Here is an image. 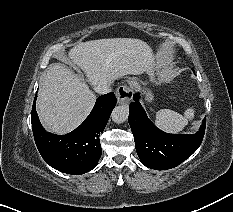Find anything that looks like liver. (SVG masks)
I'll list each match as a JSON object with an SVG mask.
<instances>
[{"mask_svg": "<svg viewBox=\"0 0 233 212\" xmlns=\"http://www.w3.org/2000/svg\"><path fill=\"white\" fill-rule=\"evenodd\" d=\"M68 60L79 66L92 85L125 75L150 70L151 47L134 38H109L82 42L68 52ZM96 100L89 86L64 64L48 68L37 99V113L43 126L65 134L88 116Z\"/></svg>", "mask_w": 233, "mask_h": 212, "instance_id": "liver-1", "label": "liver"}]
</instances>
